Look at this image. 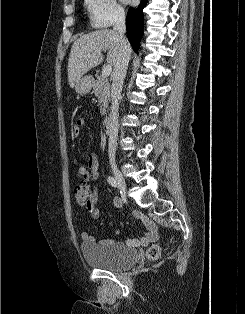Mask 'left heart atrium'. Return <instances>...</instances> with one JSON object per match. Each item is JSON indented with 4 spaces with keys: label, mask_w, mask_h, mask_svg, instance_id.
Returning a JSON list of instances; mask_svg holds the SVG:
<instances>
[{
    "label": "left heart atrium",
    "mask_w": 245,
    "mask_h": 314,
    "mask_svg": "<svg viewBox=\"0 0 245 314\" xmlns=\"http://www.w3.org/2000/svg\"><path fill=\"white\" fill-rule=\"evenodd\" d=\"M124 2H131V1H133V0H123Z\"/></svg>",
    "instance_id": "1"
}]
</instances>
